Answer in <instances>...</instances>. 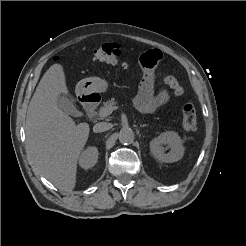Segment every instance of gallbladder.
<instances>
[{
  "label": "gallbladder",
  "instance_id": "bac80fb5",
  "mask_svg": "<svg viewBox=\"0 0 246 246\" xmlns=\"http://www.w3.org/2000/svg\"><path fill=\"white\" fill-rule=\"evenodd\" d=\"M58 106L67 114L80 116V112L67 94H60L57 100Z\"/></svg>",
  "mask_w": 246,
  "mask_h": 246
}]
</instances>
